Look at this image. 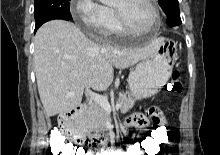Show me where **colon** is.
Returning <instances> with one entry per match:
<instances>
[{"mask_svg":"<svg viewBox=\"0 0 220 155\" xmlns=\"http://www.w3.org/2000/svg\"><path fill=\"white\" fill-rule=\"evenodd\" d=\"M166 89L174 94H181L183 90L180 73L173 71L171 78L166 85ZM153 116V123L147 125L148 135H145V139H133V142L128 143V151L132 155H159L160 147L163 144H170L169 129L167 123L164 120L155 119V114L150 113ZM91 140V139H88ZM53 146L51 148V155H90L91 149H98L105 145H87L86 151L81 147V143H66L65 139L61 135H53L51 138ZM164 155H171L164 153Z\"/></svg>","mask_w":220,"mask_h":155,"instance_id":"1","label":"colon"}]
</instances>
